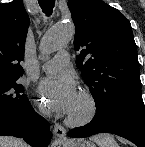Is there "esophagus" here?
I'll use <instances>...</instances> for the list:
<instances>
[{
	"instance_id": "1",
	"label": "esophagus",
	"mask_w": 145,
	"mask_h": 147,
	"mask_svg": "<svg viewBox=\"0 0 145 147\" xmlns=\"http://www.w3.org/2000/svg\"><path fill=\"white\" fill-rule=\"evenodd\" d=\"M53 132L61 141H67L66 129L60 124L54 125Z\"/></svg>"
}]
</instances>
